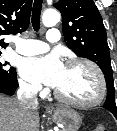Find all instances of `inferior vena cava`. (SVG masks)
Listing matches in <instances>:
<instances>
[{"label":"inferior vena cava","instance_id":"obj_1","mask_svg":"<svg viewBox=\"0 0 117 131\" xmlns=\"http://www.w3.org/2000/svg\"><path fill=\"white\" fill-rule=\"evenodd\" d=\"M39 89L35 86H21L17 91V97L21 104L29 107H37V93Z\"/></svg>","mask_w":117,"mask_h":131}]
</instances>
